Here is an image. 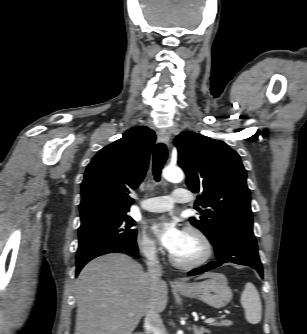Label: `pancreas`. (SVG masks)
Segmentation results:
<instances>
[{
    "label": "pancreas",
    "mask_w": 307,
    "mask_h": 334,
    "mask_svg": "<svg viewBox=\"0 0 307 334\" xmlns=\"http://www.w3.org/2000/svg\"><path fill=\"white\" fill-rule=\"evenodd\" d=\"M232 324H233V322L230 321V320H222L220 322H214V323H212V325L218 326V327H220V326L228 327V326H231Z\"/></svg>",
    "instance_id": "1"
}]
</instances>
